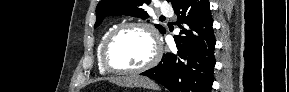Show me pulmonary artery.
Here are the masks:
<instances>
[{
	"mask_svg": "<svg viewBox=\"0 0 289 92\" xmlns=\"http://www.w3.org/2000/svg\"><path fill=\"white\" fill-rule=\"evenodd\" d=\"M161 12L165 15H171L173 13L172 9L167 5L161 6Z\"/></svg>",
	"mask_w": 289,
	"mask_h": 92,
	"instance_id": "e3ab8cb5",
	"label": "pulmonary artery"
}]
</instances>
